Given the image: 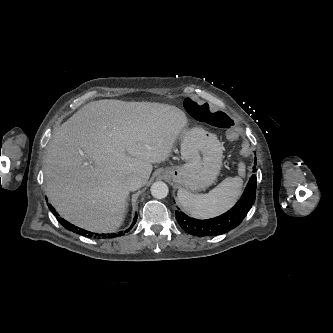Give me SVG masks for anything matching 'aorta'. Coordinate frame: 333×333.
<instances>
[{"instance_id": "aorta-1", "label": "aorta", "mask_w": 333, "mask_h": 333, "mask_svg": "<svg viewBox=\"0 0 333 333\" xmlns=\"http://www.w3.org/2000/svg\"><path fill=\"white\" fill-rule=\"evenodd\" d=\"M168 192V186L162 181L155 182L151 186V194L157 199L165 198L168 195Z\"/></svg>"}]
</instances>
